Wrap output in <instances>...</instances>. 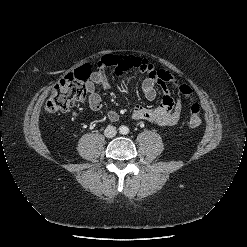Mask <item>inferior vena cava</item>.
Segmentation results:
<instances>
[{
    "label": "inferior vena cava",
    "mask_w": 247,
    "mask_h": 247,
    "mask_svg": "<svg viewBox=\"0 0 247 247\" xmlns=\"http://www.w3.org/2000/svg\"><path fill=\"white\" fill-rule=\"evenodd\" d=\"M116 134H117L116 127L111 126V125H109V126L105 129V131H104V135H105L107 138H112V137H114Z\"/></svg>",
    "instance_id": "obj_1"
}]
</instances>
